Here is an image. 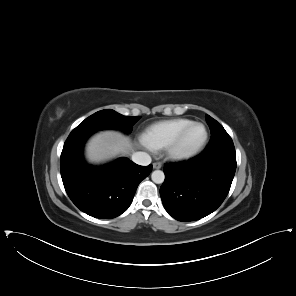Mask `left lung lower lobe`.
I'll return each instance as SVG.
<instances>
[{
  "instance_id": "obj_1",
  "label": "left lung lower lobe",
  "mask_w": 296,
  "mask_h": 296,
  "mask_svg": "<svg viewBox=\"0 0 296 296\" xmlns=\"http://www.w3.org/2000/svg\"><path fill=\"white\" fill-rule=\"evenodd\" d=\"M236 170L235 153L200 156L164 167L160 195L166 211L179 221H193L215 211L226 198Z\"/></svg>"
}]
</instances>
